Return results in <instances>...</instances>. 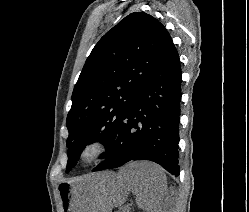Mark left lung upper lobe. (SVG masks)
Returning a JSON list of instances; mask_svg holds the SVG:
<instances>
[{
  "label": "left lung upper lobe",
  "mask_w": 249,
  "mask_h": 212,
  "mask_svg": "<svg viewBox=\"0 0 249 212\" xmlns=\"http://www.w3.org/2000/svg\"><path fill=\"white\" fill-rule=\"evenodd\" d=\"M172 44L165 27L144 12L129 14L99 40L72 94L67 172L87 144L100 141L108 152L133 97Z\"/></svg>",
  "instance_id": "obj_1"
}]
</instances>
